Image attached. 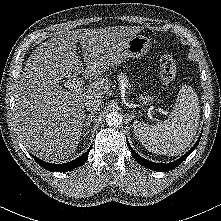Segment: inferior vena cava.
<instances>
[{
  "label": "inferior vena cava",
  "instance_id": "obj_1",
  "mask_svg": "<svg viewBox=\"0 0 221 221\" xmlns=\"http://www.w3.org/2000/svg\"><path fill=\"white\" fill-rule=\"evenodd\" d=\"M85 107L89 112L96 111L103 107V101L101 99H91L85 103Z\"/></svg>",
  "mask_w": 221,
  "mask_h": 221
}]
</instances>
